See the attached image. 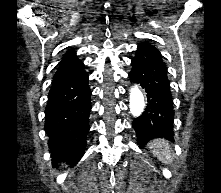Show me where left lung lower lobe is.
Segmentation results:
<instances>
[{
  "label": "left lung lower lobe",
  "mask_w": 221,
  "mask_h": 193,
  "mask_svg": "<svg viewBox=\"0 0 221 193\" xmlns=\"http://www.w3.org/2000/svg\"><path fill=\"white\" fill-rule=\"evenodd\" d=\"M131 81L139 84L147 93V106L133 121L139 146L153 138L173 140V99L170 91L167 67L159 50L142 43L131 61ZM157 131L159 134H154Z\"/></svg>",
  "instance_id": "left-lung-lower-lobe-1"
}]
</instances>
